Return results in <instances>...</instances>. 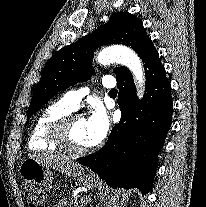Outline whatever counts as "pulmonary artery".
<instances>
[{
    "label": "pulmonary artery",
    "instance_id": "obj_1",
    "mask_svg": "<svg viewBox=\"0 0 206 207\" xmlns=\"http://www.w3.org/2000/svg\"><path fill=\"white\" fill-rule=\"evenodd\" d=\"M102 83L107 88H113L115 86L114 78L110 75L104 76ZM89 93V88L84 87L77 90H70L64 95V102L73 110H76L80 101Z\"/></svg>",
    "mask_w": 206,
    "mask_h": 207
}]
</instances>
